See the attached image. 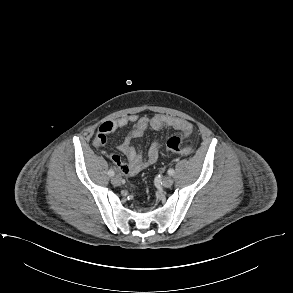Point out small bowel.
<instances>
[{"label": "small bowel", "instance_id": "1", "mask_svg": "<svg viewBox=\"0 0 293 293\" xmlns=\"http://www.w3.org/2000/svg\"><path fill=\"white\" fill-rule=\"evenodd\" d=\"M130 124L134 125L133 129L119 144V150L127 157L128 163L121 161L120 157L115 154L109 156L119 171L127 176L138 174L145 168L154 164L159 157L158 140H154L150 144L146 156H143L132 146L131 141L133 139L141 138L149 129L159 131L166 127L178 130L186 137H190L193 133L192 125L188 121L178 117L165 114H156L152 117H139L138 115L131 114L114 120L104 121L97 130L93 140V146L95 148L103 147L109 134Z\"/></svg>", "mask_w": 293, "mask_h": 293}]
</instances>
